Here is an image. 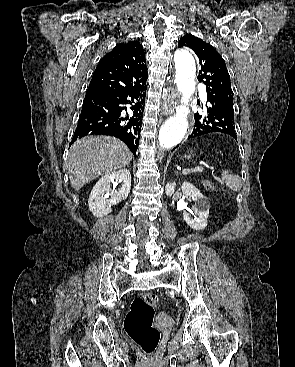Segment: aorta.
<instances>
[{
    "instance_id": "aorta-1",
    "label": "aorta",
    "mask_w": 295,
    "mask_h": 367,
    "mask_svg": "<svg viewBox=\"0 0 295 367\" xmlns=\"http://www.w3.org/2000/svg\"><path fill=\"white\" fill-rule=\"evenodd\" d=\"M175 60V84L182 93V102L176 108V114L161 126L159 130V145L169 149L178 145L185 137L188 130V114L190 112L187 103L195 91L196 66L193 56L185 50H178L174 55Z\"/></svg>"
}]
</instances>
